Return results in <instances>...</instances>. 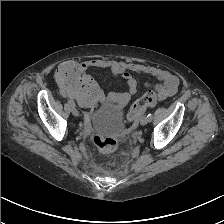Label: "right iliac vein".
Instances as JSON below:
<instances>
[{"label": "right iliac vein", "mask_w": 224, "mask_h": 224, "mask_svg": "<svg viewBox=\"0 0 224 224\" xmlns=\"http://www.w3.org/2000/svg\"><path fill=\"white\" fill-rule=\"evenodd\" d=\"M71 112L74 116H79V111L75 107H72Z\"/></svg>", "instance_id": "right-iliac-vein-1"}]
</instances>
